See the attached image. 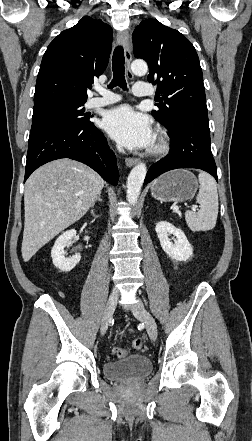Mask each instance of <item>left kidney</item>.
Masks as SVG:
<instances>
[{
  "mask_svg": "<svg viewBox=\"0 0 252 441\" xmlns=\"http://www.w3.org/2000/svg\"><path fill=\"white\" fill-rule=\"evenodd\" d=\"M157 236L164 252L172 259L186 261L192 256L193 249L184 232L167 221H160L155 227ZM172 234L174 242L169 235Z\"/></svg>",
  "mask_w": 252,
  "mask_h": 441,
  "instance_id": "5707ae66",
  "label": "left kidney"
}]
</instances>
